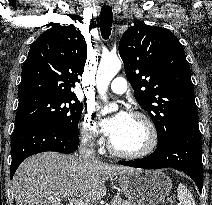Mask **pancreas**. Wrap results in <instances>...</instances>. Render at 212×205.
I'll return each mask as SVG.
<instances>
[{
	"instance_id": "1",
	"label": "pancreas",
	"mask_w": 212,
	"mask_h": 205,
	"mask_svg": "<svg viewBox=\"0 0 212 205\" xmlns=\"http://www.w3.org/2000/svg\"><path fill=\"white\" fill-rule=\"evenodd\" d=\"M111 205H132V203L127 202L118 196H115L111 202Z\"/></svg>"
}]
</instances>
